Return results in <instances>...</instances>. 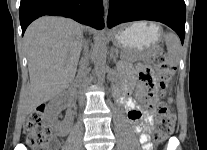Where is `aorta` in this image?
Segmentation results:
<instances>
[{
    "label": "aorta",
    "mask_w": 207,
    "mask_h": 150,
    "mask_svg": "<svg viewBox=\"0 0 207 150\" xmlns=\"http://www.w3.org/2000/svg\"><path fill=\"white\" fill-rule=\"evenodd\" d=\"M106 57H107V37L105 34H101L95 54V60H94L96 76L98 79V83L101 85L105 82V75L107 72Z\"/></svg>",
    "instance_id": "762f6f07"
}]
</instances>
